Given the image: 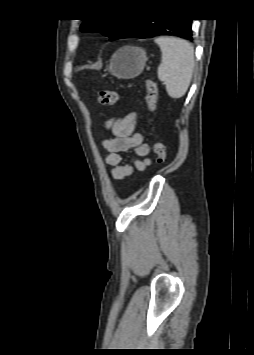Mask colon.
I'll return each instance as SVG.
<instances>
[{
	"label": "colon",
	"instance_id": "colon-1",
	"mask_svg": "<svg viewBox=\"0 0 254 355\" xmlns=\"http://www.w3.org/2000/svg\"><path fill=\"white\" fill-rule=\"evenodd\" d=\"M145 87L147 90L146 95V106H147V117L146 123L149 125L151 123V114L156 108V101L158 96V90L156 84L151 80H145ZM119 100V95L114 90H103L97 96V102L102 106H114ZM153 152L158 163L165 162L167 158V152L165 146L160 142H155L153 144Z\"/></svg>",
	"mask_w": 254,
	"mask_h": 355
}]
</instances>
